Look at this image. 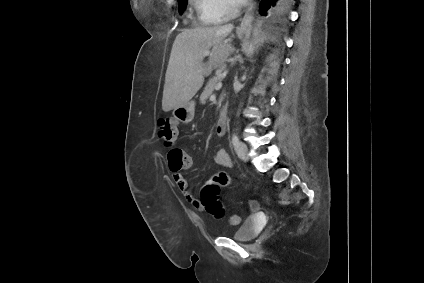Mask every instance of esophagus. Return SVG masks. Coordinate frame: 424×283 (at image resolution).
Wrapping results in <instances>:
<instances>
[{
	"label": "esophagus",
	"mask_w": 424,
	"mask_h": 283,
	"mask_svg": "<svg viewBox=\"0 0 424 283\" xmlns=\"http://www.w3.org/2000/svg\"><path fill=\"white\" fill-rule=\"evenodd\" d=\"M254 8H255V2L251 3L248 7L241 24L238 27V30L245 31L249 30L251 28V24L253 21V14H254Z\"/></svg>",
	"instance_id": "1"
}]
</instances>
